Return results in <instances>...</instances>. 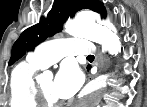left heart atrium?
<instances>
[{
  "label": "left heart atrium",
  "mask_w": 147,
  "mask_h": 107,
  "mask_svg": "<svg viewBox=\"0 0 147 107\" xmlns=\"http://www.w3.org/2000/svg\"><path fill=\"white\" fill-rule=\"evenodd\" d=\"M83 80L84 76L78 67L72 64L63 65L54 79V93L60 99H69L79 90Z\"/></svg>",
  "instance_id": "obj_1"
}]
</instances>
